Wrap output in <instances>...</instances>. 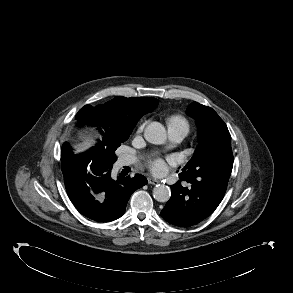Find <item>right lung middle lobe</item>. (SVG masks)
<instances>
[{
	"label": "right lung middle lobe",
	"instance_id": "1",
	"mask_svg": "<svg viewBox=\"0 0 293 293\" xmlns=\"http://www.w3.org/2000/svg\"><path fill=\"white\" fill-rule=\"evenodd\" d=\"M130 134L126 135H113L108 141L103 142L99 149L95 152L97 157H101L108 163L116 161L115 150L129 138ZM106 146V148H105Z\"/></svg>",
	"mask_w": 293,
	"mask_h": 293
}]
</instances>
